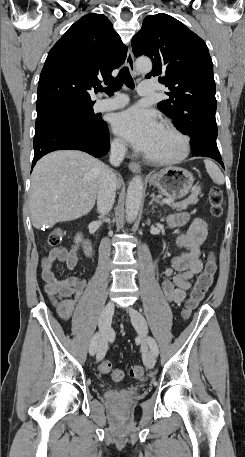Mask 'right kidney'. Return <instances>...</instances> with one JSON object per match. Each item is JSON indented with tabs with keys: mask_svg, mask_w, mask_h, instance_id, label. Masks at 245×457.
<instances>
[{
	"mask_svg": "<svg viewBox=\"0 0 245 457\" xmlns=\"http://www.w3.org/2000/svg\"><path fill=\"white\" fill-rule=\"evenodd\" d=\"M81 239H82V235H81V233H78V235H76V237H75V243H80Z\"/></svg>",
	"mask_w": 245,
	"mask_h": 457,
	"instance_id": "1",
	"label": "right kidney"
}]
</instances>
